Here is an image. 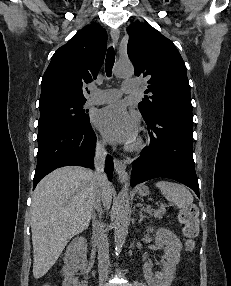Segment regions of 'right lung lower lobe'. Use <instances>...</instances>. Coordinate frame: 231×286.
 I'll return each instance as SVG.
<instances>
[{
	"mask_svg": "<svg viewBox=\"0 0 231 286\" xmlns=\"http://www.w3.org/2000/svg\"><path fill=\"white\" fill-rule=\"evenodd\" d=\"M96 135L87 123H65L38 134L37 167L33 188L48 173L67 165L93 167ZM105 171L111 181L113 160L106 158Z\"/></svg>",
	"mask_w": 231,
	"mask_h": 286,
	"instance_id": "1",
	"label": "right lung lower lobe"
}]
</instances>
